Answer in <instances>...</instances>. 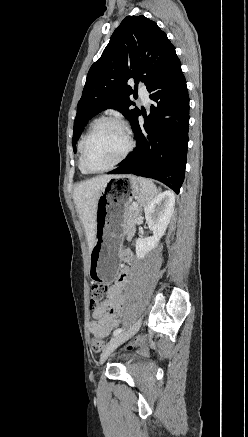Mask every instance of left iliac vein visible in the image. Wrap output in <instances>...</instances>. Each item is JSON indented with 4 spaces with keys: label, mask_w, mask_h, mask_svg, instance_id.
Listing matches in <instances>:
<instances>
[{
    "label": "left iliac vein",
    "mask_w": 248,
    "mask_h": 437,
    "mask_svg": "<svg viewBox=\"0 0 248 437\" xmlns=\"http://www.w3.org/2000/svg\"><path fill=\"white\" fill-rule=\"evenodd\" d=\"M141 325V319H139L130 330H128L125 333H120L118 335H116L115 337H113L106 345V347L104 348L101 357H100V363L102 364L107 357L118 347L120 346L123 342H125L126 340H128L129 338H131L132 336H134Z\"/></svg>",
    "instance_id": "1"
}]
</instances>
